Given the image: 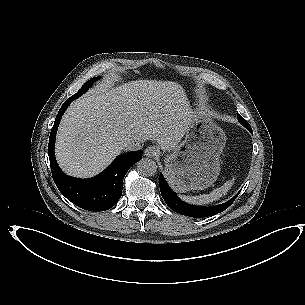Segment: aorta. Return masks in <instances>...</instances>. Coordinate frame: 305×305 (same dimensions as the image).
<instances>
[{"label":"aorta","mask_w":305,"mask_h":305,"mask_svg":"<svg viewBox=\"0 0 305 305\" xmlns=\"http://www.w3.org/2000/svg\"><path fill=\"white\" fill-rule=\"evenodd\" d=\"M136 168L139 174L150 177L156 174L157 165L156 162L149 158H142L136 164Z\"/></svg>","instance_id":"obj_1"}]
</instances>
